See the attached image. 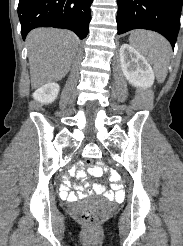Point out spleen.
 I'll use <instances>...</instances> for the list:
<instances>
[{
	"label": "spleen",
	"mask_w": 183,
	"mask_h": 246,
	"mask_svg": "<svg viewBox=\"0 0 183 246\" xmlns=\"http://www.w3.org/2000/svg\"><path fill=\"white\" fill-rule=\"evenodd\" d=\"M129 42L147 57L153 65L157 80L163 83L168 73L172 52L169 42L158 33L144 30L133 31Z\"/></svg>",
	"instance_id": "3e777b00"
}]
</instances>
